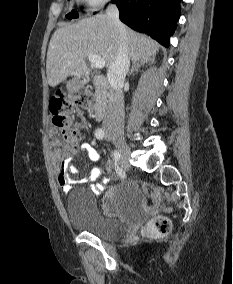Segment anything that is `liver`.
<instances>
[{
    "label": "liver",
    "mask_w": 233,
    "mask_h": 284,
    "mask_svg": "<svg viewBox=\"0 0 233 284\" xmlns=\"http://www.w3.org/2000/svg\"><path fill=\"white\" fill-rule=\"evenodd\" d=\"M126 28L128 55L132 61L145 62L154 56L159 44L145 35ZM119 32L114 21L98 14L57 29L49 43L46 61L48 84L59 85L69 76L89 74L86 57L97 55L109 68L118 54Z\"/></svg>",
    "instance_id": "liver-1"
}]
</instances>
